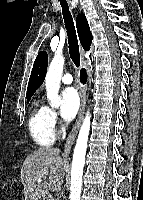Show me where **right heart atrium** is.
<instances>
[{
  "instance_id": "obj_1",
  "label": "right heart atrium",
  "mask_w": 143,
  "mask_h": 200,
  "mask_svg": "<svg viewBox=\"0 0 143 200\" xmlns=\"http://www.w3.org/2000/svg\"><path fill=\"white\" fill-rule=\"evenodd\" d=\"M46 109H47L48 125H49L51 131L53 133H56L59 128V121H58L57 114L53 109H51L49 107H46Z\"/></svg>"
}]
</instances>
